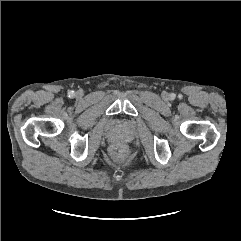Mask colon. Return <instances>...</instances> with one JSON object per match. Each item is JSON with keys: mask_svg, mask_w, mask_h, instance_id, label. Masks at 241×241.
Here are the masks:
<instances>
[{"mask_svg": "<svg viewBox=\"0 0 241 241\" xmlns=\"http://www.w3.org/2000/svg\"><path fill=\"white\" fill-rule=\"evenodd\" d=\"M111 156L115 159H121L124 156V149L121 146H114L110 150Z\"/></svg>", "mask_w": 241, "mask_h": 241, "instance_id": "5ec220e1", "label": "colon"}]
</instances>
